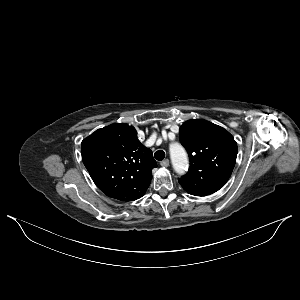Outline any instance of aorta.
<instances>
[{"label": "aorta", "mask_w": 300, "mask_h": 300, "mask_svg": "<svg viewBox=\"0 0 300 300\" xmlns=\"http://www.w3.org/2000/svg\"><path fill=\"white\" fill-rule=\"evenodd\" d=\"M170 156L175 171L179 174H183L188 167V157L184 148L174 143L170 147Z\"/></svg>", "instance_id": "762f6f07"}]
</instances>
